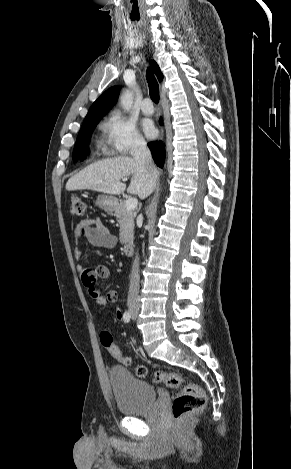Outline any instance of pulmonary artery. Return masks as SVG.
I'll return each mask as SVG.
<instances>
[{
  "label": "pulmonary artery",
  "mask_w": 291,
  "mask_h": 469,
  "mask_svg": "<svg viewBox=\"0 0 291 469\" xmlns=\"http://www.w3.org/2000/svg\"><path fill=\"white\" fill-rule=\"evenodd\" d=\"M141 110L146 115H151L153 113L154 108L149 98L143 99V101L141 102Z\"/></svg>",
  "instance_id": "1"
}]
</instances>
